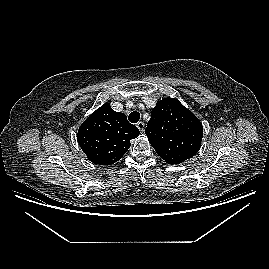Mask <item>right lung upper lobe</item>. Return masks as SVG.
Instances as JSON below:
<instances>
[{
    "instance_id": "right-lung-upper-lobe-1",
    "label": "right lung upper lobe",
    "mask_w": 269,
    "mask_h": 269,
    "mask_svg": "<svg viewBox=\"0 0 269 269\" xmlns=\"http://www.w3.org/2000/svg\"><path fill=\"white\" fill-rule=\"evenodd\" d=\"M138 135V128L106 103L82 123L77 139L91 162L111 165L122 158L131 145L130 140Z\"/></svg>"
}]
</instances>
